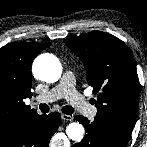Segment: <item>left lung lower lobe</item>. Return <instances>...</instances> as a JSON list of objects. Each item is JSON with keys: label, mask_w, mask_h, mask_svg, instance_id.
Returning a JSON list of instances; mask_svg holds the SVG:
<instances>
[{"label": "left lung lower lobe", "mask_w": 147, "mask_h": 147, "mask_svg": "<svg viewBox=\"0 0 147 147\" xmlns=\"http://www.w3.org/2000/svg\"><path fill=\"white\" fill-rule=\"evenodd\" d=\"M75 119L82 123L86 130L85 137L76 143L75 147H126L128 144V139L99 120L90 122L81 115H77Z\"/></svg>", "instance_id": "1"}]
</instances>
